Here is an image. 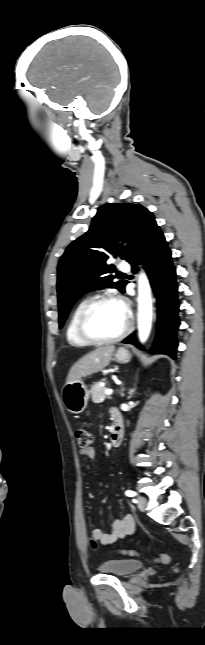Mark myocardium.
<instances>
[{"mask_svg":"<svg viewBox=\"0 0 205 645\" xmlns=\"http://www.w3.org/2000/svg\"><path fill=\"white\" fill-rule=\"evenodd\" d=\"M109 301L117 302V299L114 296L109 294L100 295L98 297L90 299L85 303V305L82 307L78 315V320H77L78 333L81 336V338L84 339L89 344H107V343L117 342L123 339L125 336H127V334L131 330V324H132L131 318L127 313L125 326L118 334L112 337H98L92 334V332L89 330V327H88V321H89L91 312L98 305Z\"/></svg>","mask_w":205,"mask_h":645,"instance_id":"1","label":"myocardium"}]
</instances>
